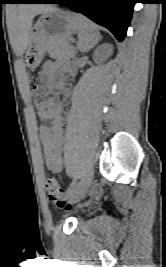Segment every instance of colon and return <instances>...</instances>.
<instances>
[{"label":"colon","instance_id":"5ec220e1","mask_svg":"<svg viewBox=\"0 0 166 267\" xmlns=\"http://www.w3.org/2000/svg\"><path fill=\"white\" fill-rule=\"evenodd\" d=\"M31 95L35 107L39 111L48 109L57 102V94L41 84H34L31 88ZM45 189L49 199L58 207L68 209V204L64 200L63 189L53 177L45 180Z\"/></svg>","mask_w":166,"mask_h":267}]
</instances>
